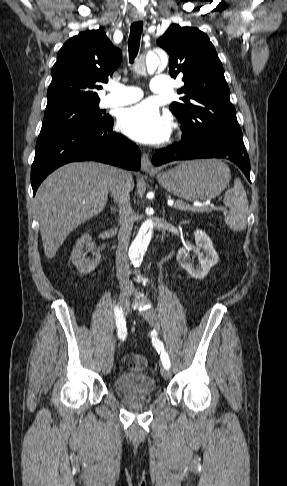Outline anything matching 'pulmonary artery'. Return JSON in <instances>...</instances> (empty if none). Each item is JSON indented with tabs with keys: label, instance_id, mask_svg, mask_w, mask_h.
Masks as SVG:
<instances>
[{
	"label": "pulmonary artery",
	"instance_id": "e3ab8cb5",
	"mask_svg": "<svg viewBox=\"0 0 287 486\" xmlns=\"http://www.w3.org/2000/svg\"><path fill=\"white\" fill-rule=\"evenodd\" d=\"M150 88L154 93H166L171 89V80L168 76L159 75L152 79ZM109 93L102 99L105 107L128 105L137 102L143 97L141 89L123 84H111Z\"/></svg>",
	"mask_w": 287,
	"mask_h": 486
}]
</instances>
